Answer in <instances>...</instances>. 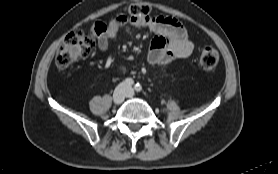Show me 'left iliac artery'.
<instances>
[{"mask_svg": "<svg viewBox=\"0 0 278 174\" xmlns=\"http://www.w3.org/2000/svg\"><path fill=\"white\" fill-rule=\"evenodd\" d=\"M134 89H135L137 92H140V91L142 90V86H141L139 83H137V84H135Z\"/></svg>", "mask_w": 278, "mask_h": 174, "instance_id": "44dca946", "label": "left iliac artery"}]
</instances>
